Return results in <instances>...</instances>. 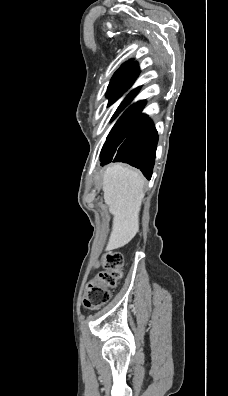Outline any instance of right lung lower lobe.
Instances as JSON below:
<instances>
[{"instance_id":"1","label":"right lung lower lobe","mask_w":228,"mask_h":396,"mask_svg":"<svg viewBox=\"0 0 228 396\" xmlns=\"http://www.w3.org/2000/svg\"><path fill=\"white\" fill-rule=\"evenodd\" d=\"M144 105V101L137 102L120 117L107 137L100 160L102 166L110 162L128 163L150 179L158 134L153 122L141 114Z\"/></svg>"}]
</instances>
